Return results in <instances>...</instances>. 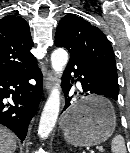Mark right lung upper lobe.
<instances>
[{"label": "right lung upper lobe", "instance_id": "1", "mask_svg": "<svg viewBox=\"0 0 130 153\" xmlns=\"http://www.w3.org/2000/svg\"><path fill=\"white\" fill-rule=\"evenodd\" d=\"M29 25L20 16L0 19V75L21 72L36 66Z\"/></svg>", "mask_w": 130, "mask_h": 153}]
</instances>
